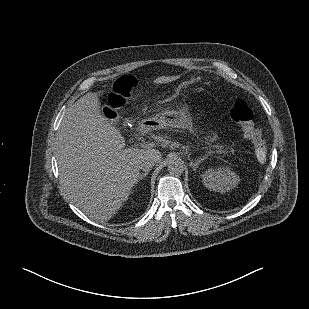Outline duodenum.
<instances>
[{
  "label": "duodenum",
  "mask_w": 309,
  "mask_h": 309,
  "mask_svg": "<svg viewBox=\"0 0 309 309\" xmlns=\"http://www.w3.org/2000/svg\"><path fill=\"white\" fill-rule=\"evenodd\" d=\"M138 130L142 133V134H146L149 132L150 130V126L149 124L145 123V124H140L138 126Z\"/></svg>",
  "instance_id": "obj_1"
}]
</instances>
